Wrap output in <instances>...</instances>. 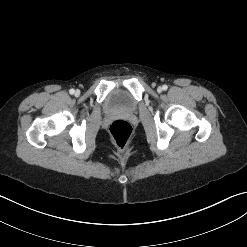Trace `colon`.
Here are the masks:
<instances>
[{"mask_svg":"<svg viewBox=\"0 0 247 247\" xmlns=\"http://www.w3.org/2000/svg\"><path fill=\"white\" fill-rule=\"evenodd\" d=\"M109 133L117 147L123 150L132 136V126L125 120H116L110 125Z\"/></svg>","mask_w":247,"mask_h":247,"instance_id":"obj_1","label":"colon"}]
</instances>
